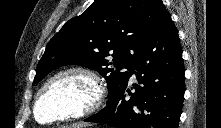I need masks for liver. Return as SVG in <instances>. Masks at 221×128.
Wrapping results in <instances>:
<instances>
[{"mask_svg": "<svg viewBox=\"0 0 221 128\" xmlns=\"http://www.w3.org/2000/svg\"><path fill=\"white\" fill-rule=\"evenodd\" d=\"M72 128H83V125H81V124H74V125H72Z\"/></svg>", "mask_w": 221, "mask_h": 128, "instance_id": "liver-1", "label": "liver"}]
</instances>
